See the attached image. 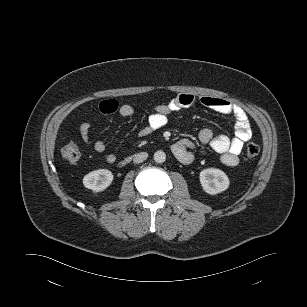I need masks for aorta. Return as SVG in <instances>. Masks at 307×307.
<instances>
[{"label":"aorta","mask_w":307,"mask_h":307,"mask_svg":"<svg viewBox=\"0 0 307 307\" xmlns=\"http://www.w3.org/2000/svg\"><path fill=\"white\" fill-rule=\"evenodd\" d=\"M153 157L156 163H163L166 160V154L161 150L156 151Z\"/></svg>","instance_id":"obj_1"}]
</instances>
